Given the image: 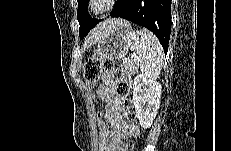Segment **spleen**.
I'll return each mask as SVG.
<instances>
[{
    "mask_svg": "<svg viewBox=\"0 0 231 151\" xmlns=\"http://www.w3.org/2000/svg\"><path fill=\"white\" fill-rule=\"evenodd\" d=\"M133 52V62L148 79L155 80L163 65V48L158 38L149 30L131 31L127 36Z\"/></svg>",
    "mask_w": 231,
    "mask_h": 151,
    "instance_id": "obj_1",
    "label": "spleen"
}]
</instances>
